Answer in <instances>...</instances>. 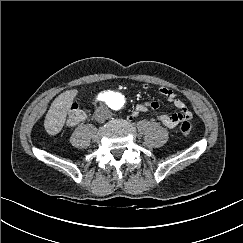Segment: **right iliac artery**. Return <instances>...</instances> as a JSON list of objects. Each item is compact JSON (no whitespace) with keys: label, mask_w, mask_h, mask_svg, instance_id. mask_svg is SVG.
I'll return each mask as SVG.
<instances>
[{"label":"right iliac artery","mask_w":243,"mask_h":243,"mask_svg":"<svg viewBox=\"0 0 243 243\" xmlns=\"http://www.w3.org/2000/svg\"><path fill=\"white\" fill-rule=\"evenodd\" d=\"M98 100H101V101H105V102H108L109 99H110V94L108 92H105V93H100L98 95Z\"/></svg>","instance_id":"1"}]
</instances>
